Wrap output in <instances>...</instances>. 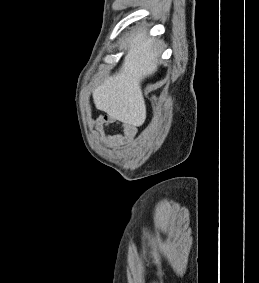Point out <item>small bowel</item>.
<instances>
[{"mask_svg": "<svg viewBox=\"0 0 259 283\" xmlns=\"http://www.w3.org/2000/svg\"><path fill=\"white\" fill-rule=\"evenodd\" d=\"M94 127V135L100 137L111 145L118 147H128L134 140L136 128L129 122L118 120L109 115H100L91 121ZM112 125L119 127L116 133H109V128Z\"/></svg>", "mask_w": 259, "mask_h": 283, "instance_id": "1", "label": "small bowel"}]
</instances>
